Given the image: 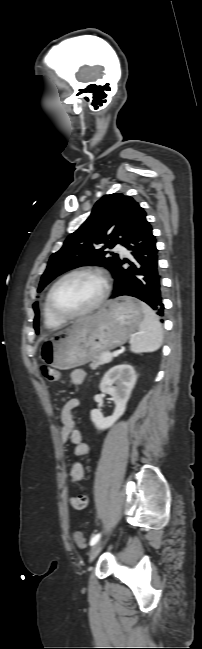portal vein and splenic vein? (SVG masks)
I'll use <instances>...</instances> for the list:
<instances>
[{
  "label": "portal vein and splenic vein",
  "instance_id": "obj_1",
  "mask_svg": "<svg viewBox=\"0 0 202 649\" xmlns=\"http://www.w3.org/2000/svg\"><path fill=\"white\" fill-rule=\"evenodd\" d=\"M101 358H102V362H103V363H108V362H110L111 359H112V354H111V353H107V352H106V353H102Z\"/></svg>",
  "mask_w": 202,
  "mask_h": 649
}]
</instances>
